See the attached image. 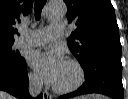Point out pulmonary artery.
I'll return each mask as SVG.
<instances>
[{
    "mask_svg": "<svg viewBox=\"0 0 128 99\" xmlns=\"http://www.w3.org/2000/svg\"><path fill=\"white\" fill-rule=\"evenodd\" d=\"M64 30L65 26L63 23H53L49 27L32 31L30 34H22L21 38L17 41V45H43L58 38L61 34H63Z\"/></svg>",
    "mask_w": 128,
    "mask_h": 99,
    "instance_id": "obj_1",
    "label": "pulmonary artery"
}]
</instances>
